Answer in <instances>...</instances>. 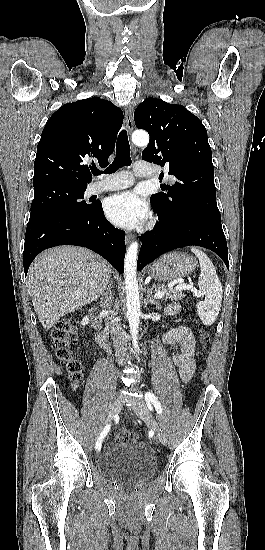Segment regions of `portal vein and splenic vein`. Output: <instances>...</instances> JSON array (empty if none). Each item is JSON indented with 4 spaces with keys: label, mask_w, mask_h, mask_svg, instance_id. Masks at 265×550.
I'll use <instances>...</instances> for the list:
<instances>
[{
    "label": "portal vein and splenic vein",
    "mask_w": 265,
    "mask_h": 550,
    "mask_svg": "<svg viewBox=\"0 0 265 550\" xmlns=\"http://www.w3.org/2000/svg\"><path fill=\"white\" fill-rule=\"evenodd\" d=\"M187 289H190V286H189V285H186V284H184V283H181V284H179V285H177V286L175 287V290H177V291H182V290H187ZM194 293H195V295H196L197 297H200V296H201V294H200L199 292H197V291H194ZM164 296H165V293H164V292H157V293L155 294L154 297H155L156 299H161V298L164 297Z\"/></svg>",
    "instance_id": "obj_1"
}]
</instances>
